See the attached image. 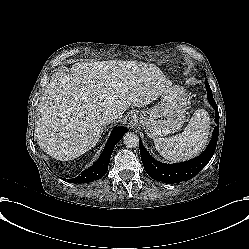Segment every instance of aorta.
<instances>
[{"label": "aorta", "mask_w": 249, "mask_h": 249, "mask_svg": "<svg viewBox=\"0 0 249 249\" xmlns=\"http://www.w3.org/2000/svg\"><path fill=\"white\" fill-rule=\"evenodd\" d=\"M123 143L127 148H136L139 146V137L133 132H127L123 137Z\"/></svg>", "instance_id": "1"}]
</instances>
